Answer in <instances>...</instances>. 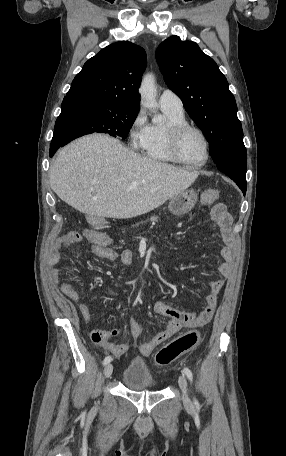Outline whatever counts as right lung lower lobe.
<instances>
[{"mask_svg": "<svg viewBox=\"0 0 286 456\" xmlns=\"http://www.w3.org/2000/svg\"><path fill=\"white\" fill-rule=\"evenodd\" d=\"M68 99H64L63 101H66ZM62 146L61 143L59 142H55L54 140H52L51 142V147H50V157H52L54 155V153L57 151V149Z\"/></svg>", "mask_w": 286, "mask_h": 456, "instance_id": "obj_1", "label": "right lung lower lobe"}]
</instances>
